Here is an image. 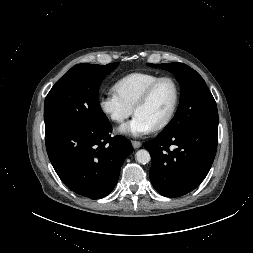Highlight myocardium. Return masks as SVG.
<instances>
[{
	"label": "myocardium",
	"instance_id": "obj_1",
	"mask_svg": "<svg viewBox=\"0 0 253 253\" xmlns=\"http://www.w3.org/2000/svg\"><path fill=\"white\" fill-rule=\"evenodd\" d=\"M166 80L170 81L174 86V90H175L174 102L167 117L161 123H159L157 126L153 128L154 131H160L166 128L172 122V120L174 119L176 115V112L180 104V98H181L180 86L177 80L172 76H161L157 78L144 90V92L142 93V95L140 96V98L137 100L136 104L133 107V112L134 114H136L137 110L148 102L155 88L161 82L166 81Z\"/></svg>",
	"mask_w": 253,
	"mask_h": 253
}]
</instances>
